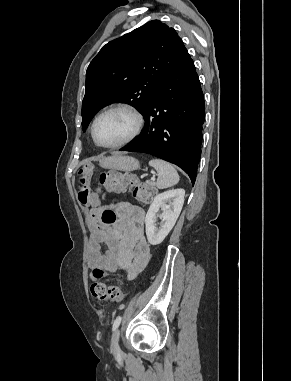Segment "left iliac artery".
<instances>
[{"label":"left iliac artery","mask_w":291,"mask_h":381,"mask_svg":"<svg viewBox=\"0 0 291 381\" xmlns=\"http://www.w3.org/2000/svg\"><path fill=\"white\" fill-rule=\"evenodd\" d=\"M121 320H122L121 316L116 317V319L114 320V323H113V328H112L113 331H115L118 328V326L120 325Z\"/></svg>","instance_id":"left-iliac-artery-1"}]
</instances>
